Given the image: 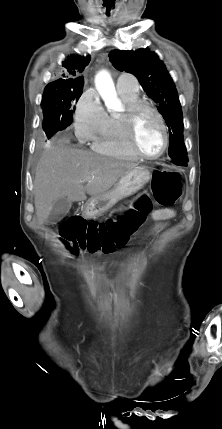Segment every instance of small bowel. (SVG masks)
I'll use <instances>...</instances> for the list:
<instances>
[{
	"mask_svg": "<svg viewBox=\"0 0 222 429\" xmlns=\"http://www.w3.org/2000/svg\"><path fill=\"white\" fill-rule=\"evenodd\" d=\"M175 216V211L173 209H158L151 214V219L155 221L154 226L151 229V233H157L163 228L166 227L167 221ZM115 251V250H114ZM102 252H97L101 254ZM113 266H118L113 263ZM106 265H104L105 267Z\"/></svg>",
	"mask_w": 222,
	"mask_h": 429,
	"instance_id": "obj_1",
	"label": "small bowel"
}]
</instances>
